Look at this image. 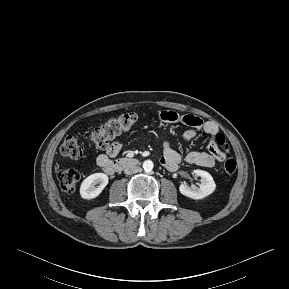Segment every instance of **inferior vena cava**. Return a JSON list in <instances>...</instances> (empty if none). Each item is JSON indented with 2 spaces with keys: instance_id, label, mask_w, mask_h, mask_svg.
<instances>
[{
  "instance_id": "obj_1",
  "label": "inferior vena cava",
  "mask_w": 289,
  "mask_h": 289,
  "mask_svg": "<svg viewBox=\"0 0 289 289\" xmlns=\"http://www.w3.org/2000/svg\"><path fill=\"white\" fill-rule=\"evenodd\" d=\"M141 168L139 166H129L124 169V173L127 175L135 174L137 172H140Z\"/></svg>"
}]
</instances>
